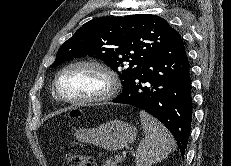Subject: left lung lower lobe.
I'll return each instance as SVG.
<instances>
[{
    "instance_id": "1",
    "label": "left lung lower lobe",
    "mask_w": 231,
    "mask_h": 166,
    "mask_svg": "<svg viewBox=\"0 0 231 166\" xmlns=\"http://www.w3.org/2000/svg\"><path fill=\"white\" fill-rule=\"evenodd\" d=\"M113 102L132 105L157 118L173 134L184 157L192 121L191 77L185 46L177 31Z\"/></svg>"
}]
</instances>
